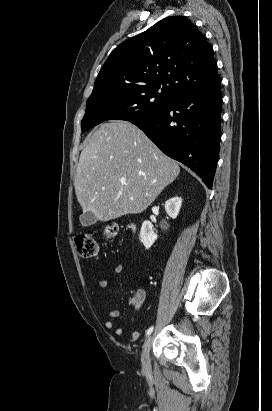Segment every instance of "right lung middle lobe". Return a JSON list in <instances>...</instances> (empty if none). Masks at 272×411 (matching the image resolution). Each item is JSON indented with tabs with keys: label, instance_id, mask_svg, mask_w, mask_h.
Returning <instances> with one entry per match:
<instances>
[{
	"label": "right lung middle lobe",
	"instance_id": "obj_1",
	"mask_svg": "<svg viewBox=\"0 0 272 411\" xmlns=\"http://www.w3.org/2000/svg\"><path fill=\"white\" fill-rule=\"evenodd\" d=\"M174 96L159 87H123L92 92L86 103L81 129L107 120L134 121L152 116L171 103Z\"/></svg>",
	"mask_w": 272,
	"mask_h": 411
}]
</instances>
